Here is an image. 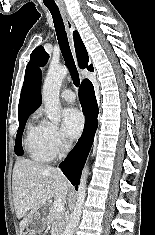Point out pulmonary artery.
I'll list each match as a JSON object with an SVG mask.
<instances>
[{
  "label": "pulmonary artery",
  "instance_id": "e3ab8cb5",
  "mask_svg": "<svg viewBox=\"0 0 155 235\" xmlns=\"http://www.w3.org/2000/svg\"><path fill=\"white\" fill-rule=\"evenodd\" d=\"M61 98L66 102L72 103L75 101V94L70 89H65L61 92Z\"/></svg>",
  "mask_w": 155,
  "mask_h": 235
}]
</instances>
